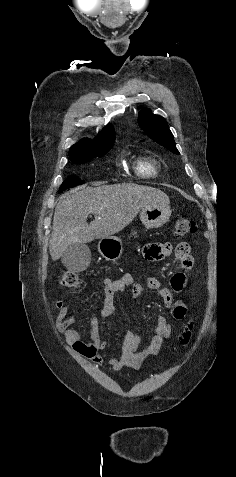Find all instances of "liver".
<instances>
[{"mask_svg": "<svg viewBox=\"0 0 236 477\" xmlns=\"http://www.w3.org/2000/svg\"><path fill=\"white\" fill-rule=\"evenodd\" d=\"M169 204L159 189L137 184L79 187L65 193L55 208L49 252L58 260L74 243L112 236L128 226L138 212L151 204ZM89 214L95 219L87 224Z\"/></svg>", "mask_w": 236, "mask_h": 477, "instance_id": "liver-1", "label": "liver"}]
</instances>
